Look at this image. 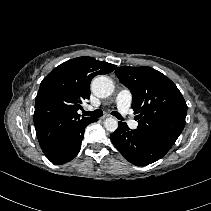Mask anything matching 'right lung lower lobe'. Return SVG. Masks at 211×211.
<instances>
[{"instance_id":"obj_1","label":"right lung lower lobe","mask_w":211,"mask_h":211,"mask_svg":"<svg viewBox=\"0 0 211 211\" xmlns=\"http://www.w3.org/2000/svg\"><path fill=\"white\" fill-rule=\"evenodd\" d=\"M97 120L91 119L72 129L52 146L44 149L45 156L54 164H64L71 161L80 151L85 127Z\"/></svg>"}]
</instances>
